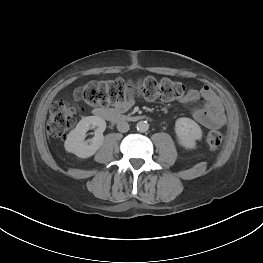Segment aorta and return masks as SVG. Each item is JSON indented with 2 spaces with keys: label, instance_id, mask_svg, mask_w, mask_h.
I'll list each match as a JSON object with an SVG mask.
<instances>
[{
  "label": "aorta",
  "instance_id": "aorta-1",
  "mask_svg": "<svg viewBox=\"0 0 263 263\" xmlns=\"http://www.w3.org/2000/svg\"><path fill=\"white\" fill-rule=\"evenodd\" d=\"M136 127L138 131L146 132L149 129V124L147 123V121H139Z\"/></svg>",
  "mask_w": 263,
  "mask_h": 263
}]
</instances>
